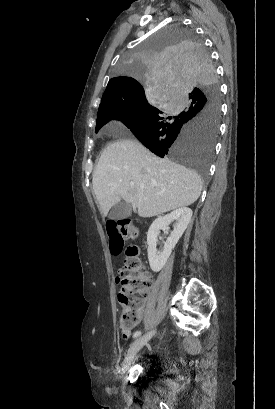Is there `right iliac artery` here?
Returning <instances> with one entry per match:
<instances>
[{"label":"right iliac artery","mask_w":275,"mask_h":409,"mask_svg":"<svg viewBox=\"0 0 275 409\" xmlns=\"http://www.w3.org/2000/svg\"><path fill=\"white\" fill-rule=\"evenodd\" d=\"M141 335V331H136L134 334H133V338H137V337H139Z\"/></svg>","instance_id":"1"}]
</instances>
